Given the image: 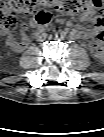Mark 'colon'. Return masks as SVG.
Listing matches in <instances>:
<instances>
[{"label": "colon", "instance_id": "1", "mask_svg": "<svg viewBox=\"0 0 104 137\" xmlns=\"http://www.w3.org/2000/svg\"><path fill=\"white\" fill-rule=\"evenodd\" d=\"M104 10V0H7L0 7V24L4 32L16 28L21 16L33 15L39 24L46 25L51 21L53 12L73 15L80 12ZM102 22L99 20L94 29L93 45L96 52L102 51Z\"/></svg>", "mask_w": 104, "mask_h": 137}]
</instances>
